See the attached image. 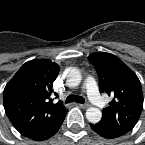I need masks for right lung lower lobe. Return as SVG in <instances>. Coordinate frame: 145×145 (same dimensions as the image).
<instances>
[{"instance_id": "right-lung-lower-lobe-1", "label": "right lung lower lobe", "mask_w": 145, "mask_h": 145, "mask_svg": "<svg viewBox=\"0 0 145 145\" xmlns=\"http://www.w3.org/2000/svg\"><path fill=\"white\" fill-rule=\"evenodd\" d=\"M67 111H65L63 114H61L54 123H52L50 126H48L47 128L32 133L26 137H28L29 139L35 140V141H43L46 140L48 138H50L51 136H53L60 128V126L62 125L65 116H66Z\"/></svg>"}]
</instances>
